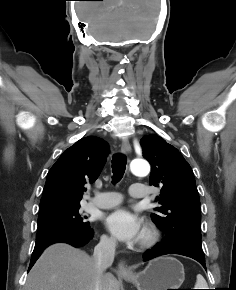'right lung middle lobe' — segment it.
<instances>
[{
    "label": "right lung middle lobe",
    "instance_id": "right-lung-middle-lobe-1",
    "mask_svg": "<svg viewBox=\"0 0 236 290\" xmlns=\"http://www.w3.org/2000/svg\"><path fill=\"white\" fill-rule=\"evenodd\" d=\"M79 209L80 204L41 209L38 216L36 238L54 232L89 228L90 223L79 214Z\"/></svg>",
    "mask_w": 236,
    "mask_h": 290
}]
</instances>
